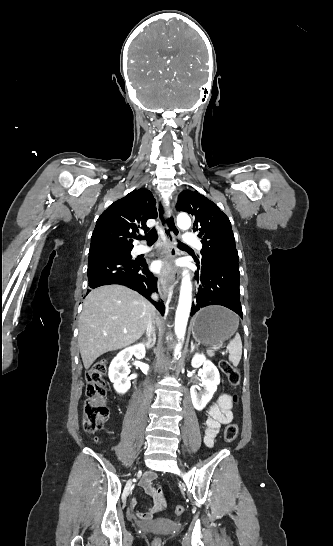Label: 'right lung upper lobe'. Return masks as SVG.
<instances>
[{"label":"right lung upper lobe","instance_id":"obj_1","mask_svg":"<svg viewBox=\"0 0 333 546\" xmlns=\"http://www.w3.org/2000/svg\"><path fill=\"white\" fill-rule=\"evenodd\" d=\"M157 218L152 192L140 188L111 204L98 218L91 237L90 251L108 247H133L139 228L148 230L146 221Z\"/></svg>","mask_w":333,"mask_h":546}]
</instances>
